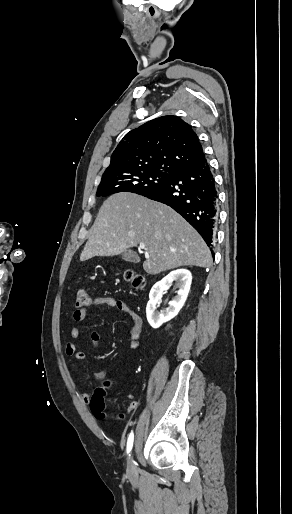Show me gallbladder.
<instances>
[{
  "instance_id": "obj_1",
  "label": "gallbladder",
  "mask_w": 292,
  "mask_h": 514,
  "mask_svg": "<svg viewBox=\"0 0 292 514\" xmlns=\"http://www.w3.org/2000/svg\"><path fill=\"white\" fill-rule=\"evenodd\" d=\"M133 262H139V258L136 254H133Z\"/></svg>"
}]
</instances>
